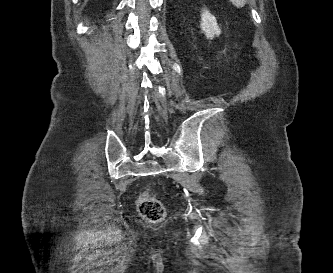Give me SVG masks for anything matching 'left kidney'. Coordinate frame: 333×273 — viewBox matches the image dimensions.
<instances>
[{
  "label": "left kidney",
  "mask_w": 333,
  "mask_h": 273,
  "mask_svg": "<svg viewBox=\"0 0 333 273\" xmlns=\"http://www.w3.org/2000/svg\"><path fill=\"white\" fill-rule=\"evenodd\" d=\"M200 26L208 39H213L215 35L218 36L221 33L216 18L206 9L202 11Z\"/></svg>",
  "instance_id": "obj_1"
}]
</instances>
